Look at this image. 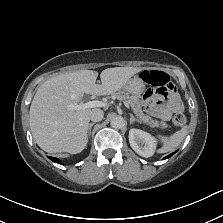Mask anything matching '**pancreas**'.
Returning <instances> with one entry per match:
<instances>
[{"instance_id":"obj_1","label":"pancreas","mask_w":223,"mask_h":223,"mask_svg":"<svg viewBox=\"0 0 223 223\" xmlns=\"http://www.w3.org/2000/svg\"><path fill=\"white\" fill-rule=\"evenodd\" d=\"M112 97H115L117 100H126L130 106L132 107V110L135 113L140 112V106L138 105L140 103V97H133V95H126V92L119 93V90L112 93ZM153 125H157V123L151 122Z\"/></svg>"}]
</instances>
